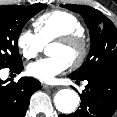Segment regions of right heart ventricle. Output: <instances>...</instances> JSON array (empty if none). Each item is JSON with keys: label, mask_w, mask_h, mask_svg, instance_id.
Segmentation results:
<instances>
[{"label": "right heart ventricle", "mask_w": 117, "mask_h": 117, "mask_svg": "<svg viewBox=\"0 0 117 117\" xmlns=\"http://www.w3.org/2000/svg\"><path fill=\"white\" fill-rule=\"evenodd\" d=\"M34 27L44 45L60 36L84 32L79 18L64 10H53L40 15L34 21Z\"/></svg>", "instance_id": "right-heart-ventricle-1"}]
</instances>
